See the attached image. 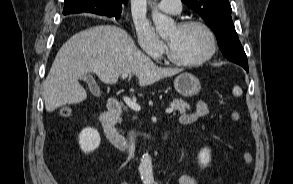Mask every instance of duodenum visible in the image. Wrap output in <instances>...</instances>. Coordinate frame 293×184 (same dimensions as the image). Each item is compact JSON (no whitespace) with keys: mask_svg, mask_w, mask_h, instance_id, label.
<instances>
[{"mask_svg":"<svg viewBox=\"0 0 293 184\" xmlns=\"http://www.w3.org/2000/svg\"><path fill=\"white\" fill-rule=\"evenodd\" d=\"M122 110V102L116 97L108 100L107 111L101 114L100 123L107 139L120 151H128L129 144L126 138L116 128V121ZM163 138H167V133H163Z\"/></svg>","mask_w":293,"mask_h":184,"instance_id":"410a0bca","label":"duodenum"}]
</instances>
